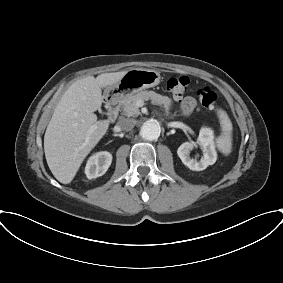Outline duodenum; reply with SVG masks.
<instances>
[{"label":"duodenum","mask_w":283,"mask_h":283,"mask_svg":"<svg viewBox=\"0 0 283 283\" xmlns=\"http://www.w3.org/2000/svg\"><path fill=\"white\" fill-rule=\"evenodd\" d=\"M106 106L108 107V118L113 121L119 114V96L111 95L106 99Z\"/></svg>","instance_id":"obj_1"}]
</instances>
